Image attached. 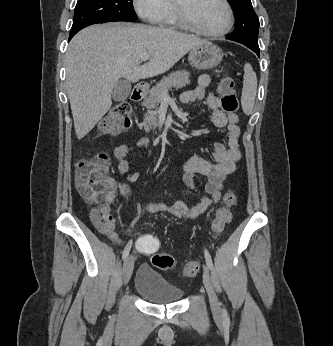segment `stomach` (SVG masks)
<instances>
[{"mask_svg":"<svg viewBox=\"0 0 333 346\" xmlns=\"http://www.w3.org/2000/svg\"><path fill=\"white\" fill-rule=\"evenodd\" d=\"M222 50L212 43H206L190 50L189 63L196 69L208 70L222 61Z\"/></svg>","mask_w":333,"mask_h":346,"instance_id":"obj_1","label":"stomach"}]
</instances>
